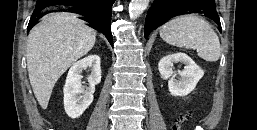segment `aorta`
Here are the masks:
<instances>
[{"label": "aorta", "mask_w": 257, "mask_h": 130, "mask_svg": "<svg viewBox=\"0 0 257 130\" xmlns=\"http://www.w3.org/2000/svg\"><path fill=\"white\" fill-rule=\"evenodd\" d=\"M149 0H131L129 5V16L131 19L138 18L147 8Z\"/></svg>", "instance_id": "obj_1"}]
</instances>
